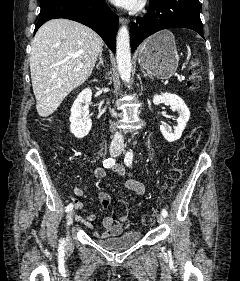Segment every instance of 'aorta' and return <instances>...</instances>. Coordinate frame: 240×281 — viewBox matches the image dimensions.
<instances>
[{
    "label": "aorta",
    "instance_id": "1",
    "mask_svg": "<svg viewBox=\"0 0 240 281\" xmlns=\"http://www.w3.org/2000/svg\"><path fill=\"white\" fill-rule=\"evenodd\" d=\"M116 59L119 74L122 80L126 83L131 79V52H130V37L126 26H122L116 38Z\"/></svg>",
    "mask_w": 240,
    "mask_h": 281
}]
</instances>
